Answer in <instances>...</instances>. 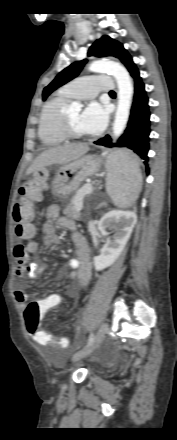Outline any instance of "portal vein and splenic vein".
I'll list each match as a JSON object with an SVG mask.
<instances>
[{"label":"portal vein and splenic vein","instance_id":"portal-vein-and-splenic-vein-1","mask_svg":"<svg viewBox=\"0 0 177 440\" xmlns=\"http://www.w3.org/2000/svg\"><path fill=\"white\" fill-rule=\"evenodd\" d=\"M91 192H92V186L89 185L88 188H87V190L85 191V194H86V193L89 194V193H91ZM78 210H81V204L78 205Z\"/></svg>","mask_w":177,"mask_h":440}]
</instances>
